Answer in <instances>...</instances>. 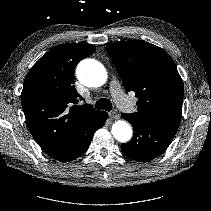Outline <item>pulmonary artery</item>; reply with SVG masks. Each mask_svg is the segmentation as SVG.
Wrapping results in <instances>:
<instances>
[{
  "instance_id": "e3ab8cb5",
  "label": "pulmonary artery",
  "mask_w": 211,
  "mask_h": 211,
  "mask_svg": "<svg viewBox=\"0 0 211 211\" xmlns=\"http://www.w3.org/2000/svg\"><path fill=\"white\" fill-rule=\"evenodd\" d=\"M110 92L114 97L118 107L123 111H128L131 106V102L123 92L122 86L118 81L114 80L111 83Z\"/></svg>"
}]
</instances>
